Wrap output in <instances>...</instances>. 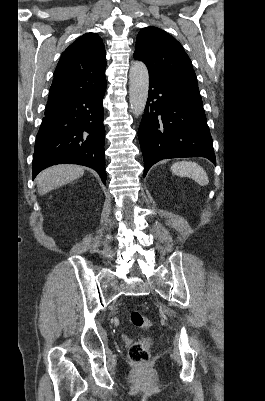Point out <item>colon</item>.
Instances as JSON below:
<instances>
[{
	"mask_svg": "<svg viewBox=\"0 0 265 401\" xmlns=\"http://www.w3.org/2000/svg\"><path fill=\"white\" fill-rule=\"evenodd\" d=\"M129 319L131 324L137 328L149 329L152 326L151 321L138 311H132ZM151 346L152 341L150 338H143L136 341L129 348L128 354L130 360L136 366L144 367L149 362Z\"/></svg>",
	"mask_w": 265,
	"mask_h": 401,
	"instance_id": "5ec220e1",
	"label": "colon"
}]
</instances>
